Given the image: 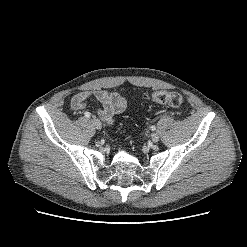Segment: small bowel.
<instances>
[{
  "label": "small bowel",
  "mask_w": 247,
  "mask_h": 247,
  "mask_svg": "<svg viewBox=\"0 0 247 247\" xmlns=\"http://www.w3.org/2000/svg\"><path fill=\"white\" fill-rule=\"evenodd\" d=\"M93 99L101 103L102 107L98 109L97 114L109 125H113L115 115L122 113L126 108V100L122 96L103 89L77 93L71 100V108L82 110Z\"/></svg>",
  "instance_id": "small-bowel-1"
}]
</instances>
